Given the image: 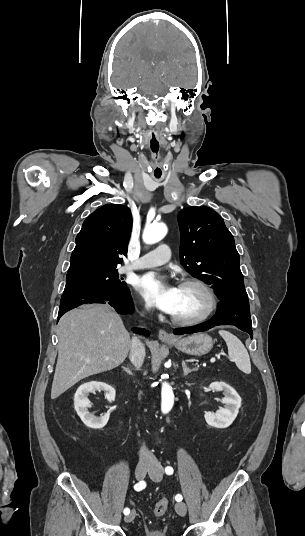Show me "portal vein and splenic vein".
<instances>
[{"label": "portal vein and splenic vein", "instance_id": "portal-vein-and-splenic-vein-1", "mask_svg": "<svg viewBox=\"0 0 305 536\" xmlns=\"http://www.w3.org/2000/svg\"><path fill=\"white\" fill-rule=\"evenodd\" d=\"M216 358H211L210 362H215Z\"/></svg>", "mask_w": 305, "mask_h": 536}]
</instances>
